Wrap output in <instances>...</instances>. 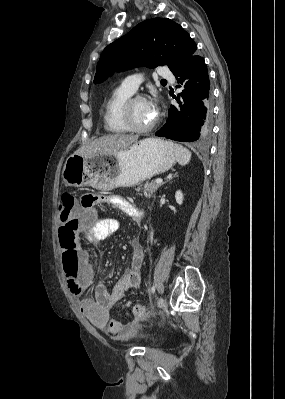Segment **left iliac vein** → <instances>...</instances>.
<instances>
[{
  "label": "left iliac vein",
  "instance_id": "obj_1",
  "mask_svg": "<svg viewBox=\"0 0 285 399\" xmlns=\"http://www.w3.org/2000/svg\"><path fill=\"white\" fill-rule=\"evenodd\" d=\"M166 306V301L163 297H160L158 302H157V307L158 308H164Z\"/></svg>",
  "mask_w": 285,
  "mask_h": 399
}]
</instances>
